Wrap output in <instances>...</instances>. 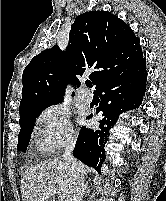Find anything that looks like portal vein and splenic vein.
<instances>
[{
  "label": "portal vein and splenic vein",
  "mask_w": 166,
  "mask_h": 201,
  "mask_svg": "<svg viewBox=\"0 0 166 201\" xmlns=\"http://www.w3.org/2000/svg\"><path fill=\"white\" fill-rule=\"evenodd\" d=\"M50 194H56V191H55V190H49V191L47 192V194L45 195V198H48V196H49Z\"/></svg>",
  "instance_id": "1"
}]
</instances>
